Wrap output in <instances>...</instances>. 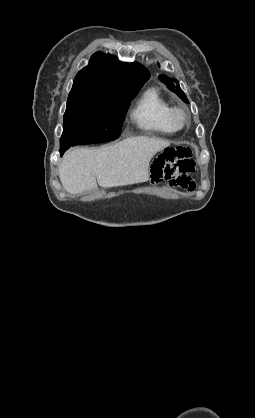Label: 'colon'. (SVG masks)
<instances>
[{
  "instance_id": "colon-1",
  "label": "colon",
  "mask_w": 255,
  "mask_h": 418,
  "mask_svg": "<svg viewBox=\"0 0 255 418\" xmlns=\"http://www.w3.org/2000/svg\"><path fill=\"white\" fill-rule=\"evenodd\" d=\"M195 170L192 151L183 146L164 150L153 162L151 181L158 184L167 181L171 186L193 190L195 183L190 174Z\"/></svg>"
}]
</instances>
